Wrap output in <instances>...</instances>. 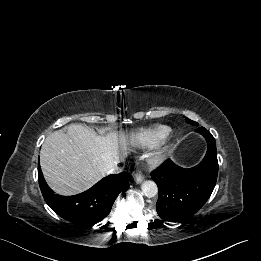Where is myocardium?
<instances>
[{"label":"myocardium","mask_w":261,"mask_h":261,"mask_svg":"<svg viewBox=\"0 0 261 261\" xmlns=\"http://www.w3.org/2000/svg\"><path fill=\"white\" fill-rule=\"evenodd\" d=\"M169 146L165 143L158 148L152 155L150 162L152 165H160L164 162Z\"/></svg>","instance_id":"f54148a6"}]
</instances>
